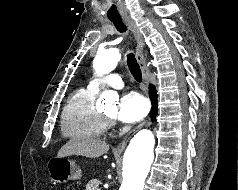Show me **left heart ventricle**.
Listing matches in <instances>:
<instances>
[{
    "instance_id": "obj_1",
    "label": "left heart ventricle",
    "mask_w": 238,
    "mask_h": 190,
    "mask_svg": "<svg viewBox=\"0 0 238 190\" xmlns=\"http://www.w3.org/2000/svg\"><path fill=\"white\" fill-rule=\"evenodd\" d=\"M104 113L108 116L115 117L116 113H117V107L112 106V107L106 109Z\"/></svg>"
}]
</instances>
